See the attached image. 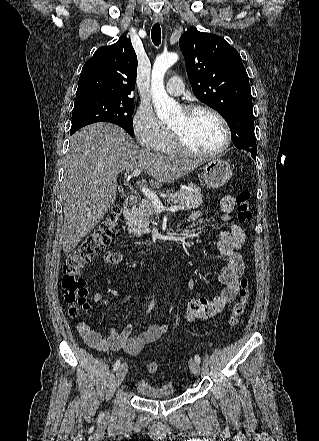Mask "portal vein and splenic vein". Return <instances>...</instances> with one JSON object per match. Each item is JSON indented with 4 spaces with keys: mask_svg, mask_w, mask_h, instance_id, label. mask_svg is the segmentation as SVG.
I'll return each instance as SVG.
<instances>
[{
    "mask_svg": "<svg viewBox=\"0 0 319 441\" xmlns=\"http://www.w3.org/2000/svg\"><path fill=\"white\" fill-rule=\"evenodd\" d=\"M140 174V169L139 168H135L133 170V172L129 175V177H136ZM140 190L144 193V195L150 199V201L152 202L154 209L157 213H161L164 210L170 211V212H176L178 210H180L181 206L180 205H175V206H171L169 208H165L163 206V204L161 203L160 199L158 198V196L154 193L149 191L146 187L144 186H140Z\"/></svg>",
    "mask_w": 319,
    "mask_h": 441,
    "instance_id": "portal-vein-and-splenic-vein-1",
    "label": "portal vein and splenic vein"
}]
</instances>
